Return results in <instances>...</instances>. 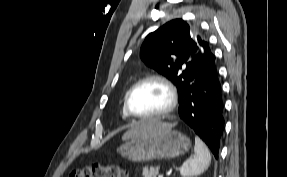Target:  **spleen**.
<instances>
[{
	"mask_svg": "<svg viewBox=\"0 0 287 177\" xmlns=\"http://www.w3.org/2000/svg\"><path fill=\"white\" fill-rule=\"evenodd\" d=\"M194 152V158L185 161L180 168L182 177L198 176L207 170L210 165V152L204 142L197 136L195 137Z\"/></svg>",
	"mask_w": 287,
	"mask_h": 177,
	"instance_id": "spleen-1",
	"label": "spleen"
}]
</instances>
